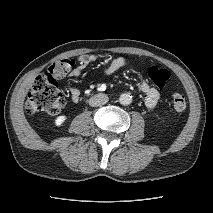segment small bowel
I'll return each instance as SVG.
<instances>
[{
	"mask_svg": "<svg viewBox=\"0 0 213 213\" xmlns=\"http://www.w3.org/2000/svg\"><path fill=\"white\" fill-rule=\"evenodd\" d=\"M97 57L94 54H86L82 55L78 58L77 65L73 67L70 72L69 76L72 78L80 76L83 71L93 64L96 61ZM128 61L125 57H117L113 59L108 66L105 68L104 73L106 75H112L117 72L119 69L127 65ZM140 90L145 95V106L148 109H153L157 105L160 99L159 91L149 85L145 80H142L139 84ZM68 92L74 102H78L80 97V91L76 87H69Z\"/></svg>",
	"mask_w": 213,
	"mask_h": 213,
	"instance_id": "obj_1",
	"label": "small bowel"
}]
</instances>
